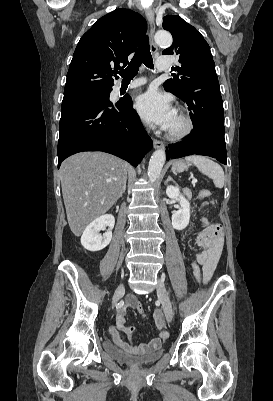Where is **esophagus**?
Returning <instances> with one entry per match:
<instances>
[{
    "label": "esophagus",
    "mask_w": 273,
    "mask_h": 401,
    "mask_svg": "<svg viewBox=\"0 0 273 401\" xmlns=\"http://www.w3.org/2000/svg\"><path fill=\"white\" fill-rule=\"evenodd\" d=\"M145 15L147 17V20L149 22V26H150V32H149V43H150V48H151V52L152 53H157L158 52V48L154 43V34H155V17H154V12L151 10V8H147L145 10ZM153 145L155 148H164V143L163 141H159V140H153Z\"/></svg>",
    "instance_id": "34e87169"
}]
</instances>
